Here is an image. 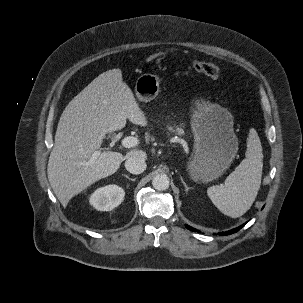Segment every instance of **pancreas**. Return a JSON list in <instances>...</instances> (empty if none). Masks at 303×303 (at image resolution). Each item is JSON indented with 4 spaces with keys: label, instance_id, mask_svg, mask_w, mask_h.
Wrapping results in <instances>:
<instances>
[{
    "label": "pancreas",
    "instance_id": "1",
    "mask_svg": "<svg viewBox=\"0 0 303 303\" xmlns=\"http://www.w3.org/2000/svg\"><path fill=\"white\" fill-rule=\"evenodd\" d=\"M183 127V126H182ZM182 127H178L176 126L175 128H173L172 126H167V129L173 133V134H177L179 136H182L184 134V130Z\"/></svg>",
    "mask_w": 303,
    "mask_h": 303
}]
</instances>
